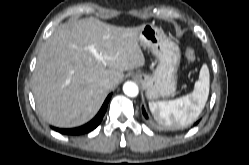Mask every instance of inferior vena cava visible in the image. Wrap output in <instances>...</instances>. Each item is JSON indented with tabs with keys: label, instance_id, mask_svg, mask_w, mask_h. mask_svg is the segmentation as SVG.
<instances>
[{
	"label": "inferior vena cava",
	"instance_id": "1",
	"mask_svg": "<svg viewBox=\"0 0 249 165\" xmlns=\"http://www.w3.org/2000/svg\"><path fill=\"white\" fill-rule=\"evenodd\" d=\"M101 85L104 87V88H111L113 86V82L110 80V79H104L102 82H101Z\"/></svg>",
	"mask_w": 249,
	"mask_h": 165
}]
</instances>
